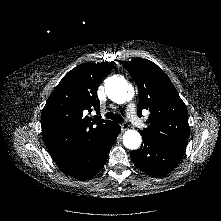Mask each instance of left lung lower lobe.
<instances>
[{"instance_id": "0a47b994", "label": "left lung lower lobe", "mask_w": 221, "mask_h": 221, "mask_svg": "<svg viewBox=\"0 0 221 221\" xmlns=\"http://www.w3.org/2000/svg\"><path fill=\"white\" fill-rule=\"evenodd\" d=\"M140 149L130 152L134 164L152 177H162L180 162L185 150L169 146L142 135Z\"/></svg>"}]
</instances>
